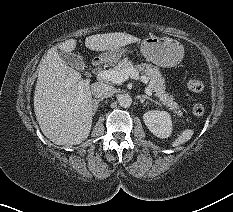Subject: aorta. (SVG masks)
Returning a JSON list of instances; mask_svg holds the SVG:
<instances>
[{"label": "aorta", "mask_w": 233, "mask_h": 212, "mask_svg": "<svg viewBox=\"0 0 233 212\" xmlns=\"http://www.w3.org/2000/svg\"><path fill=\"white\" fill-rule=\"evenodd\" d=\"M119 105L123 108H128L132 104V98L128 94H122L118 98Z\"/></svg>", "instance_id": "obj_1"}]
</instances>
